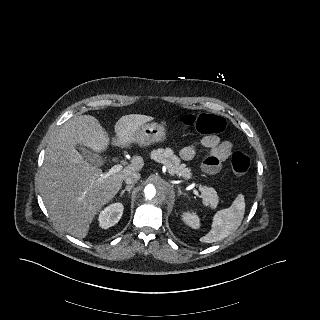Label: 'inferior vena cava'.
Listing matches in <instances>:
<instances>
[{
	"instance_id": "1",
	"label": "inferior vena cava",
	"mask_w": 320,
	"mask_h": 320,
	"mask_svg": "<svg viewBox=\"0 0 320 320\" xmlns=\"http://www.w3.org/2000/svg\"><path fill=\"white\" fill-rule=\"evenodd\" d=\"M139 179H140V174L137 172H132L124 178V181L126 184L130 185V184L136 183Z\"/></svg>"
}]
</instances>
